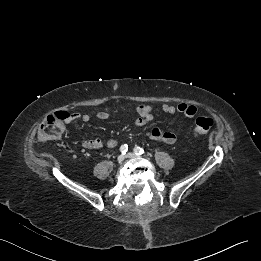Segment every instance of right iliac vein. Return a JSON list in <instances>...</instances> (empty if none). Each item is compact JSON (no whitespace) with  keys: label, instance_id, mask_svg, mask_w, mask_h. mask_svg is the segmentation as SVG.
Segmentation results:
<instances>
[{"label":"right iliac vein","instance_id":"63e3f726","mask_svg":"<svg viewBox=\"0 0 261 261\" xmlns=\"http://www.w3.org/2000/svg\"><path fill=\"white\" fill-rule=\"evenodd\" d=\"M124 159H125V156H124L123 154H120V155L117 157V161H118L119 163L123 162Z\"/></svg>","mask_w":261,"mask_h":261}]
</instances>
